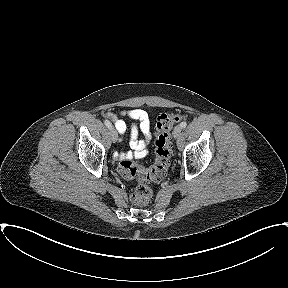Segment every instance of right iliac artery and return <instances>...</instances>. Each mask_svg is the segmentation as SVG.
Segmentation results:
<instances>
[{
    "label": "right iliac artery",
    "mask_w": 288,
    "mask_h": 288,
    "mask_svg": "<svg viewBox=\"0 0 288 288\" xmlns=\"http://www.w3.org/2000/svg\"><path fill=\"white\" fill-rule=\"evenodd\" d=\"M104 123L108 128L112 127L111 123L108 120H105Z\"/></svg>",
    "instance_id": "obj_1"
}]
</instances>
